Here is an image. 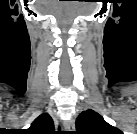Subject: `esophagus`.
<instances>
[{
	"mask_svg": "<svg viewBox=\"0 0 137 134\" xmlns=\"http://www.w3.org/2000/svg\"><path fill=\"white\" fill-rule=\"evenodd\" d=\"M64 129L66 131H74L75 130L74 121L72 119L65 120L64 121Z\"/></svg>",
	"mask_w": 137,
	"mask_h": 134,
	"instance_id": "34e87169",
	"label": "esophagus"
}]
</instances>
